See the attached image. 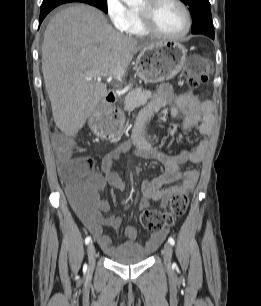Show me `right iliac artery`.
I'll return each instance as SVG.
<instances>
[{
	"instance_id": "right-iliac-artery-1",
	"label": "right iliac artery",
	"mask_w": 261,
	"mask_h": 306,
	"mask_svg": "<svg viewBox=\"0 0 261 306\" xmlns=\"http://www.w3.org/2000/svg\"><path fill=\"white\" fill-rule=\"evenodd\" d=\"M90 241H91V237H90V236H87V237L85 238V244H86V245L89 244Z\"/></svg>"
}]
</instances>
